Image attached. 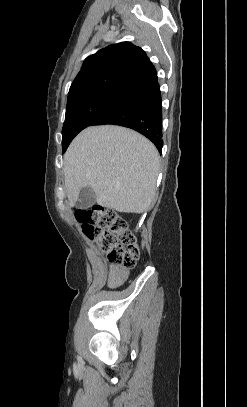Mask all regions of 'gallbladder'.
<instances>
[{"label": "gallbladder", "mask_w": 247, "mask_h": 407, "mask_svg": "<svg viewBox=\"0 0 247 407\" xmlns=\"http://www.w3.org/2000/svg\"><path fill=\"white\" fill-rule=\"evenodd\" d=\"M95 201L96 194L94 190L91 187L86 186L80 191L77 207L79 209H86L92 204H94Z\"/></svg>", "instance_id": "bac80fb5"}]
</instances>
